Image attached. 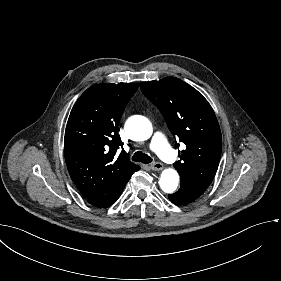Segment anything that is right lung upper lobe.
<instances>
[{"mask_svg":"<svg viewBox=\"0 0 281 281\" xmlns=\"http://www.w3.org/2000/svg\"><path fill=\"white\" fill-rule=\"evenodd\" d=\"M135 83L98 84L88 88L70 113L64 140L69 174L89 198L139 169L123 151L118 124L134 95Z\"/></svg>","mask_w":281,"mask_h":281,"instance_id":"1","label":"right lung upper lobe"}]
</instances>
